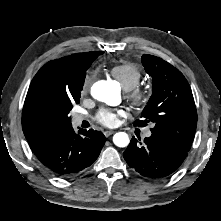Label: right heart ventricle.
<instances>
[{
	"label": "right heart ventricle",
	"instance_id": "e07e8e85",
	"mask_svg": "<svg viewBox=\"0 0 221 221\" xmlns=\"http://www.w3.org/2000/svg\"><path fill=\"white\" fill-rule=\"evenodd\" d=\"M110 74L120 83L125 91L136 88L142 79L140 70L130 63H122L113 66Z\"/></svg>",
	"mask_w": 221,
	"mask_h": 221
}]
</instances>
